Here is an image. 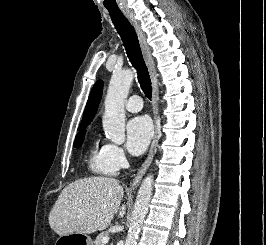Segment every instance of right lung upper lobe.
<instances>
[{
  "label": "right lung upper lobe",
  "instance_id": "obj_1",
  "mask_svg": "<svg viewBox=\"0 0 266 245\" xmlns=\"http://www.w3.org/2000/svg\"><path fill=\"white\" fill-rule=\"evenodd\" d=\"M102 90H103V82L99 80L98 82L95 83V85L91 90L80 126L89 124L94 118L102 96Z\"/></svg>",
  "mask_w": 266,
  "mask_h": 245
}]
</instances>
